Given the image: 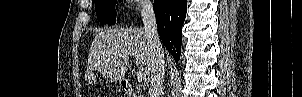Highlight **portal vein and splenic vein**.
<instances>
[{
	"label": "portal vein and splenic vein",
	"mask_w": 302,
	"mask_h": 97,
	"mask_svg": "<svg viewBox=\"0 0 302 97\" xmlns=\"http://www.w3.org/2000/svg\"><path fill=\"white\" fill-rule=\"evenodd\" d=\"M136 76H137V80H138L139 82H142V81H144V80L146 79L145 73L140 72V71L137 72Z\"/></svg>",
	"instance_id": "1"
}]
</instances>
